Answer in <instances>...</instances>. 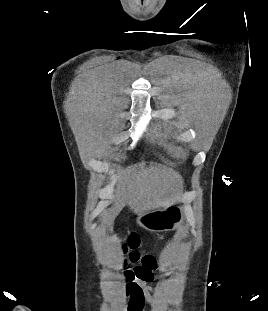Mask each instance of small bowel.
Returning <instances> with one entry per match:
<instances>
[{
    "label": "small bowel",
    "mask_w": 268,
    "mask_h": 311,
    "mask_svg": "<svg viewBox=\"0 0 268 311\" xmlns=\"http://www.w3.org/2000/svg\"><path fill=\"white\" fill-rule=\"evenodd\" d=\"M161 283L151 286L148 281L137 280L130 285H126L125 293L129 298L128 311H143L145 304H148L154 311H162L163 302L156 295V289L161 287Z\"/></svg>",
    "instance_id": "1"
}]
</instances>
